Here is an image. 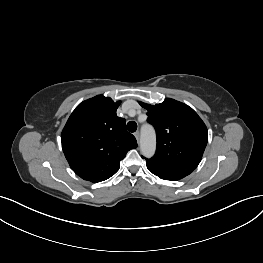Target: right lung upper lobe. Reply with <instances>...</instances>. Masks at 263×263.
Masks as SVG:
<instances>
[{
    "label": "right lung upper lobe",
    "instance_id": "right-lung-upper-lobe-1",
    "mask_svg": "<svg viewBox=\"0 0 263 263\" xmlns=\"http://www.w3.org/2000/svg\"><path fill=\"white\" fill-rule=\"evenodd\" d=\"M120 101L103 95L80 103L61 135L62 148L72 170L84 180L101 182L114 175L127 152L137 147L116 115Z\"/></svg>",
    "mask_w": 263,
    "mask_h": 263
}]
</instances>
